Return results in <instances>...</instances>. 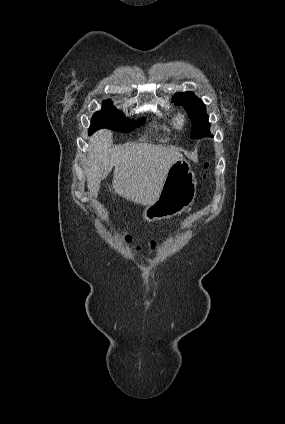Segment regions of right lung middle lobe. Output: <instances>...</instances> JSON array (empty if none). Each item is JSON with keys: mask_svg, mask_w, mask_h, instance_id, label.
<instances>
[{"mask_svg": "<svg viewBox=\"0 0 285 424\" xmlns=\"http://www.w3.org/2000/svg\"><path fill=\"white\" fill-rule=\"evenodd\" d=\"M144 122V118L137 121L127 119L121 111L111 105L110 101H104L102 110L96 112L92 117L89 134L101 128L126 133L141 126Z\"/></svg>", "mask_w": 285, "mask_h": 424, "instance_id": "right-lung-middle-lobe-1", "label": "right lung middle lobe"}]
</instances>
